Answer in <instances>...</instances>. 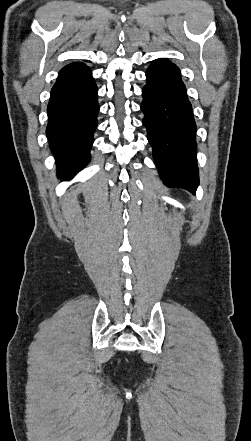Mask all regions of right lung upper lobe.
<instances>
[{
  "mask_svg": "<svg viewBox=\"0 0 251 441\" xmlns=\"http://www.w3.org/2000/svg\"><path fill=\"white\" fill-rule=\"evenodd\" d=\"M81 65H84V64L83 63H72V64H69V65L65 66V68L66 67L81 66Z\"/></svg>",
  "mask_w": 251,
  "mask_h": 441,
  "instance_id": "1",
  "label": "right lung upper lobe"
}]
</instances>
